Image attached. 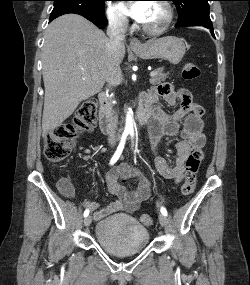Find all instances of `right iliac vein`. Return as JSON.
Segmentation results:
<instances>
[{"instance_id":"obj_1","label":"right iliac vein","mask_w":250,"mask_h":285,"mask_svg":"<svg viewBox=\"0 0 250 285\" xmlns=\"http://www.w3.org/2000/svg\"><path fill=\"white\" fill-rule=\"evenodd\" d=\"M92 222V217L91 216H87L84 219V226H89Z\"/></svg>"}]
</instances>
